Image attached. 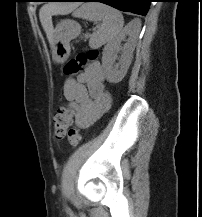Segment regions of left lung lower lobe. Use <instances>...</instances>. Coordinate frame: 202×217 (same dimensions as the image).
Masks as SVG:
<instances>
[{"label": "left lung lower lobe", "instance_id": "0a47b994", "mask_svg": "<svg viewBox=\"0 0 202 217\" xmlns=\"http://www.w3.org/2000/svg\"><path fill=\"white\" fill-rule=\"evenodd\" d=\"M57 2H101L121 11L146 15L152 0H52Z\"/></svg>", "mask_w": 202, "mask_h": 217}]
</instances>
